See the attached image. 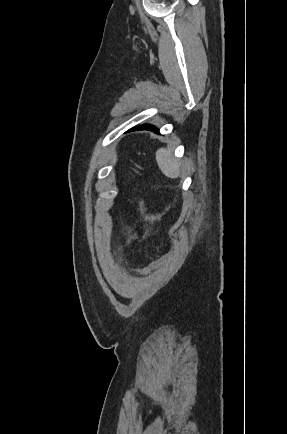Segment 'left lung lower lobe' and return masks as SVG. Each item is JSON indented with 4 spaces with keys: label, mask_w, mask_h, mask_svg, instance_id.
Instances as JSON below:
<instances>
[{
    "label": "left lung lower lobe",
    "mask_w": 287,
    "mask_h": 434,
    "mask_svg": "<svg viewBox=\"0 0 287 434\" xmlns=\"http://www.w3.org/2000/svg\"><path fill=\"white\" fill-rule=\"evenodd\" d=\"M143 129L151 130V131H154V132H159V130L155 126L150 125V124L139 125V126H136L134 128H131L129 131L143 130Z\"/></svg>",
    "instance_id": "obj_1"
}]
</instances>
